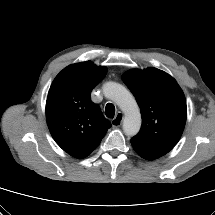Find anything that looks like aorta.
<instances>
[{
	"instance_id": "762f6f07",
	"label": "aorta",
	"mask_w": 215,
	"mask_h": 215,
	"mask_svg": "<svg viewBox=\"0 0 215 215\" xmlns=\"http://www.w3.org/2000/svg\"><path fill=\"white\" fill-rule=\"evenodd\" d=\"M105 97L113 100L124 113L123 131L126 135H136L141 127L140 109L134 96L121 84L107 82L103 87Z\"/></svg>"
}]
</instances>
